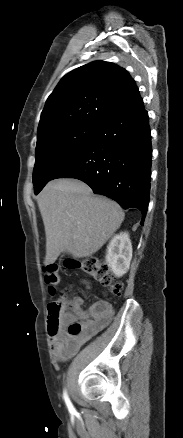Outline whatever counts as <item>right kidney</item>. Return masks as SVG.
<instances>
[{
	"mask_svg": "<svg viewBox=\"0 0 183 438\" xmlns=\"http://www.w3.org/2000/svg\"><path fill=\"white\" fill-rule=\"evenodd\" d=\"M132 259V244L128 232L115 235L107 247L106 262L117 277L123 276Z\"/></svg>",
	"mask_w": 183,
	"mask_h": 438,
	"instance_id": "ca27d5eb",
	"label": "right kidney"
}]
</instances>
